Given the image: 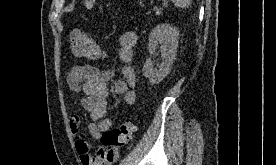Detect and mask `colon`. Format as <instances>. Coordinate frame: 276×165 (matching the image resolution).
<instances>
[{
	"instance_id": "5ec220e1",
	"label": "colon",
	"mask_w": 276,
	"mask_h": 165,
	"mask_svg": "<svg viewBox=\"0 0 276 165\" xmlns=\"http://www.w3.org/2000/svg\"><path fill=\"white\" fill-rule=\"evenodd\" d=\"M70 49L78 57L97 59L102 55V50L96 41L81 30H72L69 35ZM134 125L130 121L121 123L118 127L110 129L101 135V146L112 155L117 150L127 145L133 137Z\"/></svg>"
}]
</instances>
